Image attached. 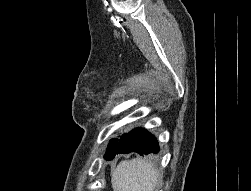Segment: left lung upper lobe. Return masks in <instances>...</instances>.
<instances>
[{
    "label": "left lung upper lobe",
    "mask_w": 251,
    "mask_h": 191,
    "mask_svg": "<svg viewBox=\"0 0 251 191\" xmlns=\"http://www.w3.org/2000/svg\"><path fill=\"white\" fill-rule=\"evenodd\" d=\"M117 140H118L117 138H114V139L110 140V143L108 145L106 154L104 156L105 159H107L110 156V154L113 152V149H114V146H115Z\"/></svg>",
    "instance_id": "1"
}]
</instances>
